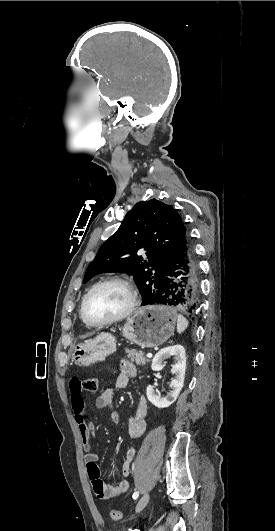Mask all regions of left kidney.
<instances>
[{"label":"left kidney","mask_w":275,"mask_h":531,"mask_svg":"<svg viewBox=\"0 0 275 531\" xmlns=\"http://www.w3.org/2000/svg\"><path fill=\"white\" fill-rule=\"evenodd\" d=\"M176 357L177 363L176 365H173L171 369V373L173 375H176L175 379L171 381L169 387L173 389L172 393H168L166 397H157L155 393V387H152V385H148L146 389L147 393V399L152 403V405H155V407H158V409H165V407H170L172 403H175L183 385H184V377H185V371H186V353L184 347L182 345H174V347H165V349H161V351H158L157 355H155L151 369L152 371H162L164 365H162L163 359H166V357Z\"/></svg>","instance_id":"obj_1"}]
</instances>
